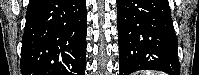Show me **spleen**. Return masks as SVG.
Here are the masks:
<instances>
[{"label":"spleen","instance_id":"spleen-1","mask_svg":"<svg viewBox=\"0 0 199 75\" xmlns=\"http://www.w3.org/2000/svg\"><path fill=\"white\" fill-rule=\"evenodd\" d=\"M143 75H166L164 72L147 71Z\"/></svg>","mask_w":199,"mask_h":75}]
</instances>
